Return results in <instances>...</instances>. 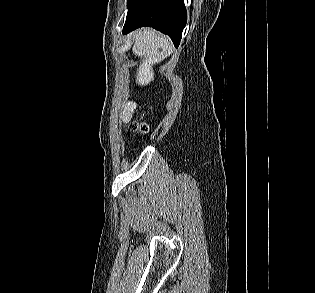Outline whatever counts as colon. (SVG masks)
Instances as JSON below:
<instances>
[{
  "label": "colon",
  "mask_w": 315,
  "mask_h": 293,
  "mask_svg": "<svg viewBox=\"0 0 315 293\" xmlns=\"http://www.w3.org/2000/svg\"><path fill=\"white\" fill-rule=\"evenodd\" d=\"M132 130L138 133H144L146 132L147 128L144 124L141 123H133L131 126Z\"/></svg>",
  "instance_id": "1"
}]
</instances>
